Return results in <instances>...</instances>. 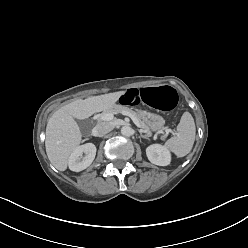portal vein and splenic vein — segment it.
<instances>
[{"label":"portal vein and splenic vein","instance_id":"portal-vein-and-splenic-vein-1","mask_svg":"<svg viewBox=\"0 0 248 248\" xmlns=\"http://www.w3.org/2000/svg\"><path fill=\"white\" fill-rule=\"evenodd\" d=\"M122 114L126 115V116H129L136 126L141 127L139 122L137 121V119L133 115H131V114L127 113V112H122ZM113 117L114 116H113L112 113H104V114H102L100 116V120H102V121H111L113 119ZM165 131H166V133L172 132L171 129H166Z\"/></svg>","mask_w":248,"mask_h":248}]
</instances>
